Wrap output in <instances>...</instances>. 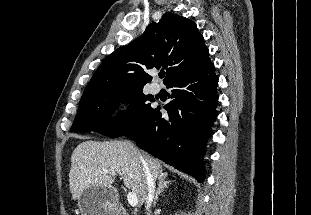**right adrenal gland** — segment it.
<instances>
[{"label": "right adrenal gland", "mask_w": 311, "mask_h": 215, "mask_svg": "<svg viewBox=\"0 0 311 215\" xmlns=\"http://www.w3.org/2000/svg\"><path fill=\"white\" fill-rule=\"evenodd\" d=\"M166 177H167V174H164V176L162 178H160V180H159L158 189H157L155 199H154V203H153L154 206L157 204L158 198H159L160 194L164 191V189L167 188L168 185L172 184L171 181L166 180Z\"/></svg>", "instance_id": "1"}]
</instances>
